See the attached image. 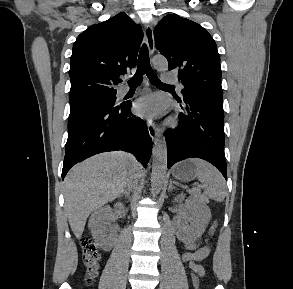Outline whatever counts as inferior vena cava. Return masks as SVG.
I'll use <instances>...</instances> for the list:
<instances>
[{
    "label": "inferior vena cava",
    "instance_id": "inferior-vena-cava-1",
    "mask_svg": "<svg viewBox=\"0 0 293 289\" xmlns=\"http://www.w3.org/2000/svg\"><path fill=\"white\" fill-rule=\"evenodd\" d=\"M138 177H139L138 173H136V172L130 173V175L127 179V184H126L128 191L133 190L137 186Z\"/></svg>",
    "mask_w": 293,
    "mask_h": 289
}]
</instances>
